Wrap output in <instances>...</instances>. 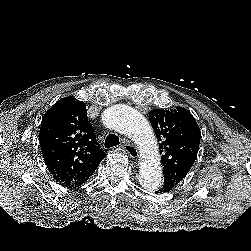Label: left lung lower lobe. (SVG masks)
<instances>
[{
  "label": "left lung lower lobe",
  "mask_w": 251,
  "mask_h": 251,
  "mask_svg": "<svg viewBox=\"0 0 251 251\" xmlns=\"http://www.w3.org/2000/svg\"><path fill=\"white\" fill-rule=\"evenodd\" d=\"M163 185H164V183L161 184V188L158 190V192L164 193V192H168L172 189L169 184L165 185L164 187H163Z\"/></svg>",
  "instance_id": "1"
}]
</instances>
